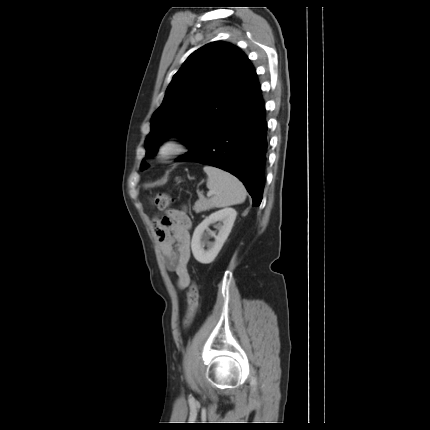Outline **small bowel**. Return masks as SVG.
I'll list each match as a JSON object with an SVG mask.
<instances>
[{"label":"small bowel","instance_id":"obj_1","mask_svg":"<svg viewBox=\"0 0 430 430\" xmlns=\"http://www.w3.org/2000/svg\"><path fill=\"white\" fill-rule=\"evenodd\" d=\"M191 220L185 209H172L155 221L154 232L166 269L177 275L182 290L191 282L189 274Z\"/></svg>","mask_w":430,"mask_h":430}]
</instances>
